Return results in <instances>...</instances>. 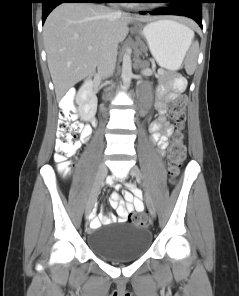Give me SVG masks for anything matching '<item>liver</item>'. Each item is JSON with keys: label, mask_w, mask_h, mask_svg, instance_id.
Segmentation results:
<instances>
[{"label": "liver", "mask_w": 239, "mask_h": 296, "mask_svg": "<svg viewBox=\"0 0 239 296\" xmlns=\"http://www.w3.org/2000/svg\"><path fill=\"white\" fill-rule=\"evenodd\" d=\"M114 12L101 4L63 3L47 17L43 38L57 99L95 72L102 47L122 42L129 23L157 19Z\"/></svg>", "instance_id": "obj_1"}]
</instances>
